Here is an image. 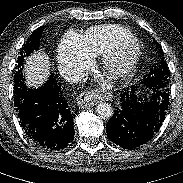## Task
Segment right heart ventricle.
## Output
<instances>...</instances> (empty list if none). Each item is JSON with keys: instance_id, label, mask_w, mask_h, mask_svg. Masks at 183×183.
<instances>
[{"instance_id": "1", "label": "right heart ventricle", "mask_w": 183, "mask_h": 183, "mask_svg": "<svg viewBox=\"0 0 183 183\" xmlns=\"http://www.w3.org/2000/svg\"><path fill=\"white\" fill-rule=\"evenodd\" d=\"M134 38L130 30L119 25H103L90 28L80 43L90 56L104 55L120 43Z\"/></svg>"}]
</instances>
